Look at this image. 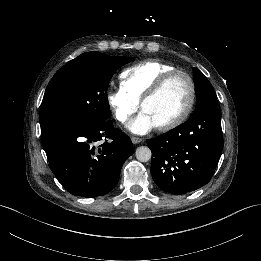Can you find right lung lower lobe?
<instances>
[{
	"label": "right lung lower lobe",
	"mask_w": 261,
	"mask_h": 261,
	"mask_svg": "<svg viewBox=\"0 0 261 261\" xmlns=\"http://www.w3.org/2000/svg\"><path fill=\"white\" fill-rule=\"evenodd\" d=\"M41 137L53 174L69 193L80 197L108 194L133 153L130 138L109 120L60 124Z\"/></svg>",
	"instance_id": "98d812e1"
}]
</instances>
